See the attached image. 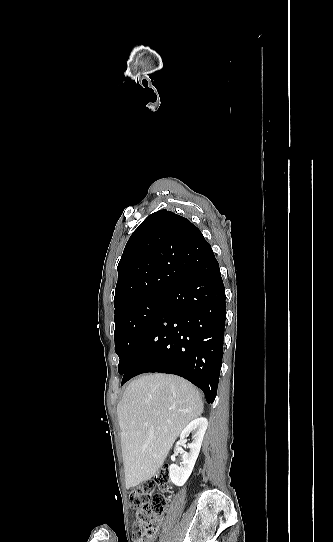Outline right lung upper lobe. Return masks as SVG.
<instances>
[{
    "mask_svg": "<svg viewBox=\"0 0 333 542\" xmlns=\"http://www.w3.org/2000/svg\"><path fill=\"white\" fill-rule=\"evenodd\" d=\"M208 245L201 231L184 217L167 210L148 216L130 236L119 261L115 314L153 295L169 292L183 280L184 272L164 261L161 252H193Z\"/></svg>",
    "mask_w": 333,
    "mask_h": 542,
    "instance_id": "1",
    "label": "right lung upper lobe"
}]
</instances>
